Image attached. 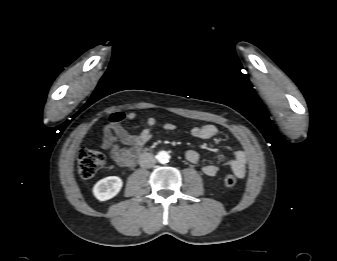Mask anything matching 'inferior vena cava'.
I'll return each mask as SVG.
<instances>
[{"instance_id": "obj_1", "label": "inferior vena cava", "mask_w": 337, "mask_h": 261, "mask_svg": "<svg viewBox=\"0 0 337 261\" xmlns=\"http://www.w3.org/2000/svg\"><path fill=\"white\" fill-rule=\"evenodd\" d=\"M156 159L151 153H143L139 157V165L143 168H150L154 166Z\"/></svg>"}]
</instances>
